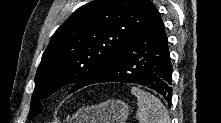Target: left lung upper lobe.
Returning a JSON list of instances; mask_svg holds the SVG:
<instances>
[{"label": "left lung upper lobe", "mask_w": 221, "mask_h": 123, "mask_svg": "<svg viewBox=\"0 0 221 123\" xmlns=\"http://www.w3.org/2000/svg\"><path fill=\"white\" fill-rule=\"evenodd\" d=\"M158 13L151 0H94L78 8L53 34L35 76L28 118L58 88L90 82L114 61Z\"/></svg>", "instance_id": "left-lung-upper-lobe-1"}]
</instances>
